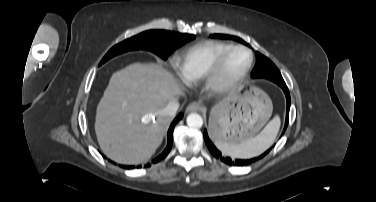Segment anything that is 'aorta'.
Here are the masks:
<instances>
[{
  "instance_id": "762f6f07",
  "label": "aorta",
  "mask_w": 376,
  "mask_h": 202,
  "mask_svg": "<svg viewBox=\"0 0 376 202\" xmlns=\"http://www.w3.org/2000/svg\"><path fill=\"white\" fill-rule=\"evenodd\" d=\"M187 125L190 128H201L203 125V119L202 117L197 113H191L187 116L186 119Z\"/></svg>"
}]
</instances>
